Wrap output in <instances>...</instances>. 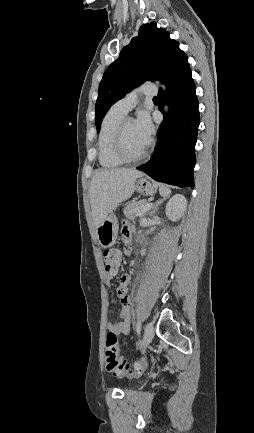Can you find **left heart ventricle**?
Listing matches in <instances>:
<instances>
[{
    "label": "left heart ventricle",
    "mask_w": 254,
    "mask_h": 433,
    "mask_svg": "<svg viewBox=\"0 0 254 433\" xmlns=\"http://www.w3.org/2000/svg\"><path fill=\"white\" fill-rule=\"evenodd\" d=\"M149 140L145 139L137 130L135 121L130 120L124 129V146L130 155L139 154L147 145Z\"/></svg>",
    "instance_id": "obj_1"
}]
</instances>
